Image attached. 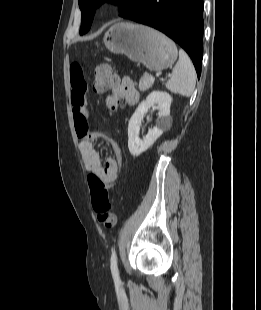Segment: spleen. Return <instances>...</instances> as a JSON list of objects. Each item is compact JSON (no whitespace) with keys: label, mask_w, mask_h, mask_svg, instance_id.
<instances>
[{"label":"spleen","mask_w":261,"mask_h":310,"mask_svg":"<svg viewBox=\"0 0 261 310\" xmlns=\"http://www.w3.org/2000/svg\"><path fill=\"white\" fill-rule=\"evenodd\" d=\"M196 79V71L190 58L180 50L179 60L172 70V76L166 83V88L172 93L189 97L194 91Z\"/></svg>","instance_id":"obj_1"}]
</instances>
